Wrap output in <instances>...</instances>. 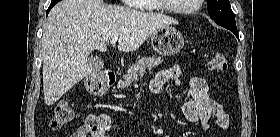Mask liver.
Returning <instances> with one entry per match:
<instances>
[{"label":"liver","mask_w":280,"mask_h":137,"mask_svg":"<svg viewBox=\"0 0 280 137\" xmlns=\"http://www.w3.org/2000/svg\"><path fill=\"white\" fill-rule=\"evenodd\" d=\"M161 13L108 5L102 0H62L50 11L42 37L44 102L50 106L92 73L88 56L107 51L113 36L118 50L136 51L154 32L175 24Z\"/></svg>","instance_id":"liver-1"}]
</instances>
